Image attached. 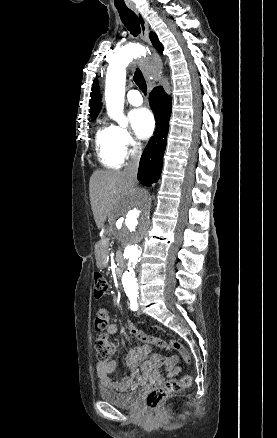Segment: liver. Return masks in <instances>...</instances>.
Returning <instances> with one entry per match:
<instances>
[{"label": "liver", "mask_w": 277, "mask_h": 438, "mask_svg": "<svg viewBox=\"0 0 277 438\" xmlns=\"http://www.w3.org/2000/svg\"><path fill=\"white\" fill-rule=\"evenodd\" d=\"M90 202L97 228H102L112 210L119 205L120 188H130L125 172L97 170L90 178Z\"/></svg>", "instance_id": "obj_1"}]
</instances>
